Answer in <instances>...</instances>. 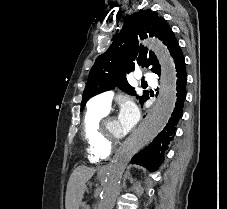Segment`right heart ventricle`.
I'll return each mask as SVG.
<instances>
[{"label":"right heart ventricle","instance_id":"e07e8e85","mask_svg":"<svg viewBox=\"0 0 227 209\" xmlns=\"http://www.w3.org/2000/svg\"><path fill=\"white\" fill-rule=\"evenodd\" d=\"M108 113V109L91 107L83 117L81 123V136L87 146L88 160L96 165H100L109 160L112 149L106 147L98 138V123Z\"/></svg>","mask_w":227,"mask_h":209}]
</instances>
